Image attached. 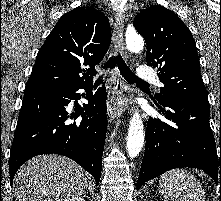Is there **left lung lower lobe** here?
Instances as JSON below:
<instances>
[{
  "label": "left lung lower lobe",
  "mask_w": 221,
  "mask_h": 201,
  "mask_svg": "<svg viewBox=\"0 0 221 201\" xmlns=\"http://www.w3.org/2000/svg\"><path fill=\"white\" fill-rule=\"evenodd\" d=\"M167 121L149 119L146 146L137 190L147 181L178 167L202 169L221 184V151L217 155L209 124L208 102L174 100L156 102Z\"/></svg>",
  "instance_id": "0a47b994"
}]
</instances>
